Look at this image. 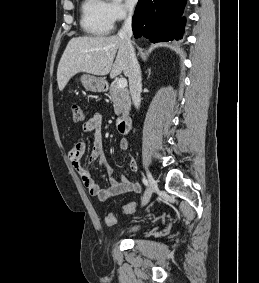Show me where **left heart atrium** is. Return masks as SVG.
<instances>
[{
  "label": "left heart atrium",
  "mask_w": 259,
  "mask_h": 283,
  "mask_svg": "<svg viewBox=\"0 0 259 283\" xmlns=\"http://www.w3.org/2000/svg\"><path fill=\"white\" fill-rule=\"evenodd\" d=\"M129 2H131L132 4H135L137 0H129Z\"/></svg>",
  "instance_id": "1"
}]
</instances>
